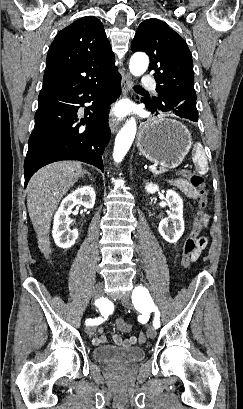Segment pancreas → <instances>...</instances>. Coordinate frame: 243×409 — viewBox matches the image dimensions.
Wrapping results in <instances>:
<instances>
[{"label": "pancreas", "instance_id": "pancreas-1", "mask_svg": "<svg viewBox=\"0 0 243 409\" xmlns=\"http://www.w3.org/2000/svg\"><path fill=\"white\" fill-rule=\"evenodd\" d=\"M164 172H166V169L163 168V167L159 168L158 170H153V171H152V173H153L155 176H157V175H159V174H162V173H164Z\"/></svg>", "mask_w": 243, "mask_h": 409}]
</instances>
